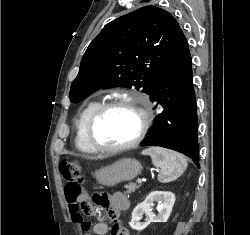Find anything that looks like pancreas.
Instances as JSON below:
<instances>
[{"mask_svg": "<svg viewBox=\"0 0 250 235\" xmlns=\"http://www.w3.org/2000/svg\"><path fill=\"white\" fill-rule=\"evenodd\" d=\"M139 186L136 184H129L126 186V189L128 190V193L134 192Z\"/></svg>", "mask_w": 250, "mask_h": 235, "instance_id": "pancreas-1", "label": "pancreas"}]
</instances>
